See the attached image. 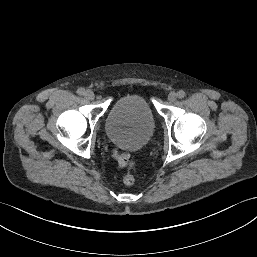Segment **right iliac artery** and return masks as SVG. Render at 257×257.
Masks as SVG:
<instances>
[{
  "mask_svg": "<svg viewBox=\"0 0 257 257\" xmlns=\"http://www.w3.org/2000/svg\"><path fill=\"white\" fill-rule=\"evenodd\" d=\"M77 93H78V95H84L85 94V89L84 88H79L78 90H77Z\"/></svg>",
  "mask_w": 257,
  "mask_h": 257,
  "instance_id": "1",
  "label": "right iliac artery"
}]
</instances>
